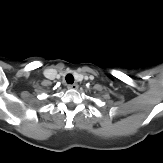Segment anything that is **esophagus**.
<instances>
[{
	"label": "esophagus",
	"mask_w": 163,
	"mask_h": 163,
	"mask_svg": "<svg viewBox=\"0 0 163 163\" xmlns=\"http://www.w3.org/2000/svg\"><path fill=\"white\" fill-rule=\"evenodd\" d=\"M67 88H68V89L75 90V89L78 88V84H76V83H74V84H69V85L67 86Z\"/></svg>",
	"instance_id": "esophagus-1"
}]
</instances>
